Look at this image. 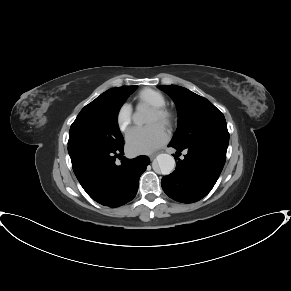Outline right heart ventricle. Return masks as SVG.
<instances>
[{
  "mask_svg": "<svg viewBox=\"0 0 291 291\" xmlns=\"http://www.w3.org/2000/svg\"><path fill=\"white\" fill-rule=\"evenodd\" d=\"M137 103L139 105L146 104L151 107H165L166 99L160 91L144 88L137 95Z\"/></svg>",
  "mask_w": 291,
  "mask_h": 291,
  "instance_id": "right-heart-ventricle-1",
  "label": "right heart ventricle"
}]
</instances>
